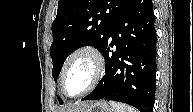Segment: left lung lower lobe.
Instances as JSON below:
<instances>
[{
    "label": "left lung lower lobe",
    "instance_id": "obj_1",
    "mask_svg": "<svg viewBox=\"0 0 193 112\" xmlns=\"http://www.w3.org/2000/svg\"><path fill=\"white\" fill-rule=\"evenodd\" d=\"M152 0H133L113 26L101 50L106 73L82 100L106 98L153 112L156 87V31ZM115 46V50L110 48Z\"/></svg>",
    "mask_w": 193,
    "mask_h": 112
}]
</instances>
